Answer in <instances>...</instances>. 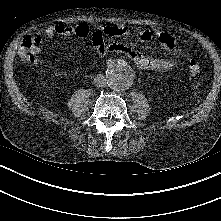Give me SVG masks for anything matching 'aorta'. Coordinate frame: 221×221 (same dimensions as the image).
<instances>
[{
    "mask_svg": "<svg viewBox=\"0 0 221 221\" xmlns=\"http://www.w3.org/2000/svg\"><path fill=\"white\" fill-rule=\"evenodd\" d=\"M106 79L111 89L116 91L124 90L133 83V70L127 62L118 60L108 65Z\"/></svg>",
    "mask_w": 221,
    "mask_h": 221,
    "instance_id": "aorta-1",
    "label": "aorta"
}]
</instances>
